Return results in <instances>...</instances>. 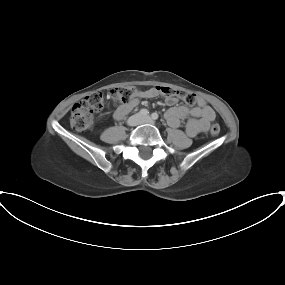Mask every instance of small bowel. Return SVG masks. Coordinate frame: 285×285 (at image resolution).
<instances>
[{"label": "small bowel", "instance_id": "1", "mask_svg": "<svg viewBox=\"0 0 285 285\" xmlns=\"http://www.w3.org/2000/svg\"><path fill=\"white\" fill-rule=\"evenodd\" d=\"M158 91L155 88L147 90L137 89L133 98L118 107L114 112V118L120 120L124 115L132 108L136 107L140 99L153 98L158 95ZM178 98L175 96H169L165 99L167 105L170 108L165 113V118L170 126L178 127L181 120L190 117L186 124V133L190 137H194L200 132H204L209 128L210 123L215 119V111L212 107L207 105L203 99H199V104L194 108H187L185 106H177ZM128 104H131L130 109L125 112V108Z\"/></svg>", "mask_w": 285, "mask_h": 285}]
</instances>
